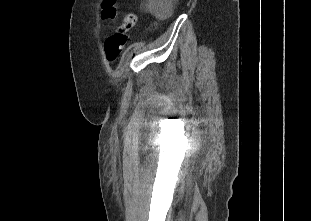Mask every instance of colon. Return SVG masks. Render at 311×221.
<instances>
[{"label":"colon","instance_id":"obj_1","mask_svg":"<svg viewBox=\"0 0 311 221\" xmlns=\"http://www.w3.org/2000/svg\"><path fill=\"white\" fill-rule=\"evenodd\" d=\"M118 2L119 0H105L102 10L99 11V16L102 17L103 20L114 19V13L117 12ZM135 20L136 17L133 14H127L116 31H121L122 28H132ZM127 37L128 36L107 37L104 43V53L108 61L114 62L120 55L127 42Z\"/></svg>","mask_w":311,"mask_h":221}]
</instances>
